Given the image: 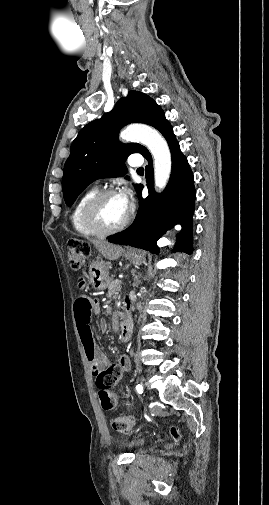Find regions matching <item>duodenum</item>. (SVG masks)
Here are the masks:
<instances>
[{"instance_id":"410a0bca","label":"duodenum","mask_w":269,"mask_h":505,"mask_svg":"<svg viewBox=\"0 0 269 505\" xmlns=\"http://www.w3.org/2000/svg\"><path fill=\"white\" fill-rule=\"evenodd\" d=\"M132 327H133L132 318L130 314L127 312V314L120 322L119 337L121 341L126 342L130 339Z\"/></svg>"}]
</instances>
